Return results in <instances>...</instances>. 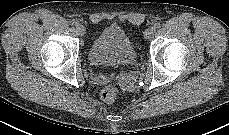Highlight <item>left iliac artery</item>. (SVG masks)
Listing matches in <instances>:
<instances>
[{
    "instance_id": "44dca946",
    "label": "left iliac artery",
    "mask_w": 229,
    "mask_h": 135,
    "mask_svg": "<svg viewBox=\"0 0 229 135\" xmlns=\"http://www.w3.org/2000/svg\"><path fill=\"white\" fill-rule=\"evenodd\" d=\"M161 27V24L159 22L155 23L154 28L158 29Z\"/></svg>"
}]
</instances>
